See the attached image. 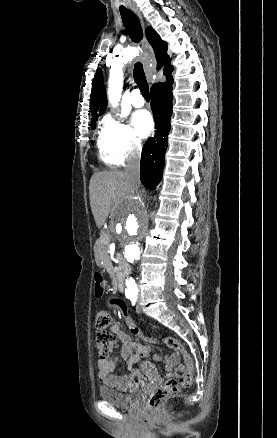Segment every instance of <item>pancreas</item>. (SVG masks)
<instances>
[{
	"instance_id": "pancreas-1",
	"label": "pancreas",
	"mask_w": 277,
	"mask_h": 438,
	"mask_svg": "<svg viewBox=\"0 0 277 438\" xmlns=\"http://www.w3.org/2000/svg\"><path fill=\"white\" fill-rule=\"evenodd\" d=\"M112 239V232L111 231H102L101 232V239H96L95 245L96 248H98L100 253L104 254V261L103 264L105 267H113L115 264L114 257L115 254L113 251L109 250L110 242L109 240Z\"/></svg>"
}]
</instances>
